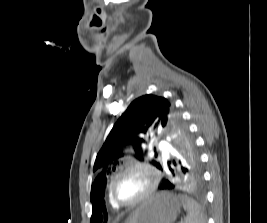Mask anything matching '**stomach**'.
<instances>
[{"label":"stomach","mask_w":267,"mask_h":223,"mask_svg":"<svg viewBox=\"0 0 267 223\" xmlns=\"http://www.w3.org/2000/svg\"><path fill=\"white\" fill-rule=\"evenodd\" d=\"M181 208V200L170 192L156 193L140 204L126 223H173Z\"/></svg>","instance_id":"stomach-1"}]
</instances>
